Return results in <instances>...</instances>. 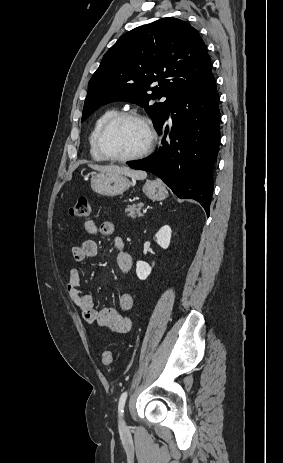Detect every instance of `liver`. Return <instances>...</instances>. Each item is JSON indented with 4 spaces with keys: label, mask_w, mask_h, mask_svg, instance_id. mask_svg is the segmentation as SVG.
<instances>
[{
    "label": "liver",
    "mask_w": 283,
    "mask_h": 463,
    "mask_svg": "<svg viewBox=\"0 0 283 463\" xmlns=\"http://www.w3.org/2000/svg\"><path fill=\"white\" fill-rule=\"evenodd\" d=\"M93 170L99 171L101 173H113L121 174L132 179L143 180L147 177L145 171L133 170L129 167L118 166V165H89Z\"/></svg>",
    "instance_id": "1"
}]
</instances>
